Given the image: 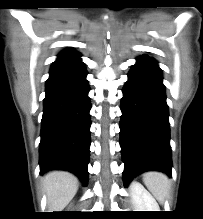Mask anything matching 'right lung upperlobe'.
<instances>
[{
  "instance_id": "cb5924a9",
  "label": "right lung upper lobe",
  "mask_w": 203,
  "mask_h": 219,
  "mask_svg": "<svg viewBox=\"0 0 203 219\" xmlns=\"http://www.w3.org/2000/svg\"><path fill=\"white\" fill-rule=\"evenodd\" d=\"M81 54L77 51H74L73 49H66L64 51H62L59 55H58V59H69V58H76V57H80Z\"/></svg>"
}]
</instances>
